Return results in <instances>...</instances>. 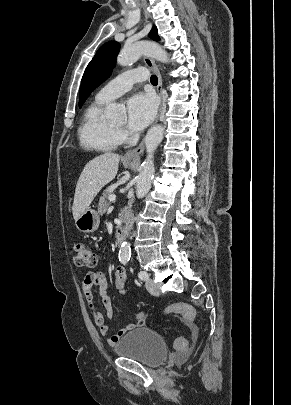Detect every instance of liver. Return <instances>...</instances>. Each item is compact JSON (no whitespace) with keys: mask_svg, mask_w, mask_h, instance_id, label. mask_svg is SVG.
I'll return each mask as SVG.
<instances>
[{"mask_svg":"<svg viewBox=\"0 0 291 405\" xmlns=\"http://www.w3.org/2000/svg\"><path fill=\"white\" fill-rule=\"evenodd\" d=\"M119 161L118 154L106 152L85 165L75 189L72 206L75 221L89 208L100 190L115 178Z\"/></svg>","mask_w":291,"mask_h":405,"instance_id":"liver-1","label":"liver"}]
</instances>
